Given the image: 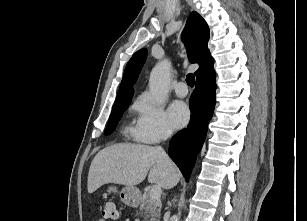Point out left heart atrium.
Segmentation results:
<instances>
[{
    "instance_id": "left-heart-atrium-1",
    "label": "left heart atrium",
    "mask_w": 307,
    "mask_h": 221,
    "mask_svg": "<svg viewBox=\"0 0 307 221\" xmlns=\"http://www.w3.org/2000/svg\"><path fill=\"white\" fill-rule=\"evenodd\" d=\"M169 117L175 128H182L189 122L190 111L182 101H174L169 107Z\"/></svg>"
}]
</instances>
